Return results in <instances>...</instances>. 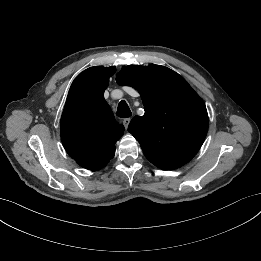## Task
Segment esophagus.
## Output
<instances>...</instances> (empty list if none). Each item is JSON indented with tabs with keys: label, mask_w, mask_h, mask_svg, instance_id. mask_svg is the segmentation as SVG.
Masks as SVG:
<instances>
[{
	"label": "esophagus",
	"mask_w": 261,
	"mask_h": 261,
	"mask_svg": "<svg viewBox=\"0 0 261 261\" xmlns=\"http://www.w3.org/2000/svg\"><path fill=\"white\" fill-rule=\"evenodd\" d=\"M130 121H131V118H125V119L123 120V125H124V127H125L126 129L128 128Z\"/></svg>",
	"instance_id": "obj_1"
}]
</instances>
